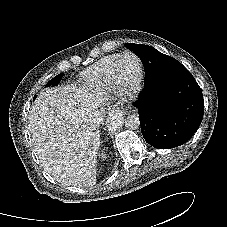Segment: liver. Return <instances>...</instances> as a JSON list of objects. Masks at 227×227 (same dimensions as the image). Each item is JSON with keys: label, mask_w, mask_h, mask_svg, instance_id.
Wrapping results in <instances>:
<instances>
[{"label": "liver", "mask_w": 227, "mask_h": 227, "mask_svg": "<svg viewBox=\"0 0 227 227\" xmlns=\"http://www.w3.org/2000/svg\"><path fill=\"white\" fill-rule=\"evenodd\" d=\"M104 100L97 89L58 86L34 101L28 129L40 162L56 181L77 187L96 183Z\"/></svg>", "instance_id": "6515ba94"}]
</instances>
